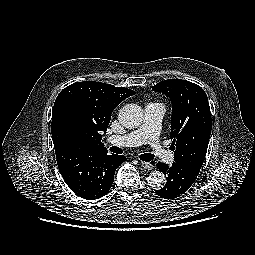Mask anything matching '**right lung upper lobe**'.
Segmentation results:
<instances>
[{"label": "right lung upper lobe", "mask_w": 255, "mask_h": 255, "mask_svg": "<svg viewBox=\"0 0 255 255\" xmlns=\"http://www.w3.org/2000/svg\"><path fill=\"white\" fill-rule=\"evenodd\" d=\"M135 92L95 81L73 83L57 96L51 132L55 153L107 152L102 140L113 110Z\"/></svg>", "instance_id": "obj_1"}]
</instances>
